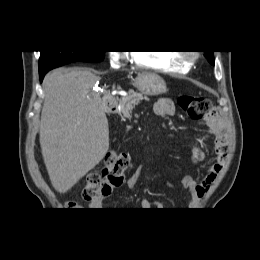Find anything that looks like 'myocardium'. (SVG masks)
<instances>
[{"instance_id": "f54148a6", "label": "myocardium", "mask_w": 260, "mask_h": 260, "mask_svg": "<svg viewBox=\"0 0 260 260\" xmlns=\"http://www.w3.org/2000/svg\"><path fill=\"white\" fill-rule=\"evenodd\" d=\"M197 57H198V55L196 53L188 52L182 56V59H184L185 61L190 63V62L195 61L197 59Z\"/></svg>"}]
</instances>
